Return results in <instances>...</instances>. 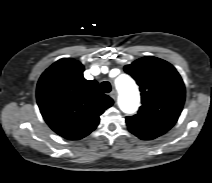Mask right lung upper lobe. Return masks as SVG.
I'll return each instance as SVG.
<instances>
[{"instance_id":"right-lung-upper-lobe-1","label":"right lung upper lobe","mask_w":212,"mask_h":183,"mask_svg":"<svg viewBox=\"0 0 212 183\" xmlns=\"http://www.w3.org/2000/svg\"><path fill=\"white\" fill-rule=\"evenodd\" d=\"M83 65L64 58L51 65L37 84V102L44 120L60 136L77 140L99 124L100 115L113 100L95 80L83 77Z\"/></svg>"}]
</instances>
